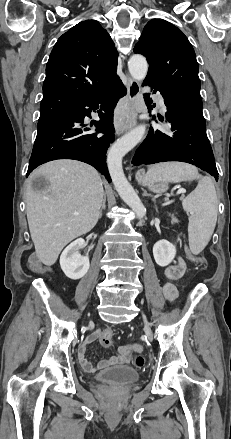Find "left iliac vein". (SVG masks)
<instances>
[{
    "instance_id": "4c4485c4",
    "label": "left iliac vein",
    "mask_w": 231,
    "mask_h": 439,
    "mask_svg": "<svg viewBox=\"0 0 231 439\" xmlns=\"http://www.w3.org/2000/svg\"><path fill=\"white\" fill-rule=\"evenodd\" d=\"M142 316H143V320H144V323H145V327H146L147 331L149 332L150 329H149V326H148V322L146 320V316L143 313H142Z\"/></svg>"
}]
</instances>
